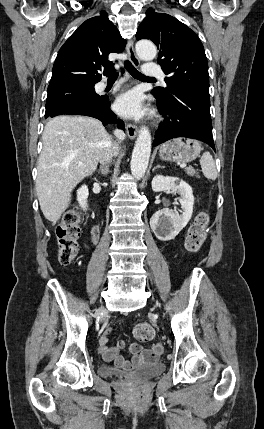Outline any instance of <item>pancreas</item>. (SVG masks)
Here are the masks:
<instances>
[{
	"label": "pancreas",
	"instance_id": "cf45deb5",
	"mask_svg": "<svg viewBox=\"0 0 264 429\" xmlns=\"http://www.w3.org/2000/svg\"><path fill=\"white\" fill-rule=\"evenodd\" d=\"M187 174L190 175V176L198 177V173L195 170L191 169V168L187 169Z\"/></svg>",
	"mask_w": 264,
	"mask_h": 429
}]
</instances>
